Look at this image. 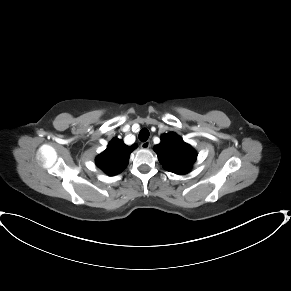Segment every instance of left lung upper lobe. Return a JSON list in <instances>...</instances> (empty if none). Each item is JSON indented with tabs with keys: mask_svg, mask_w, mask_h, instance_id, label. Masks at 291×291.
Listing matches in <instances>:
<instances>
[{
	"mask_svg": "<svg viewBox=\"0 0 291 291\" xmlns=\"http://www.w3.org/2000/svg\"><path fill=\"white\" fill-rule=\"evenodd\" d=\"M154 151L163 167L176 174L188 173L197 158L196 151L174 132L163 134Z\"/></svg>",
	"mask_w": 291,
	"mask_h": 291,
	"instance_id": "left-lung-upper-lobe-1",
	"label": "left lung upper lobe"
}]
</instances>
